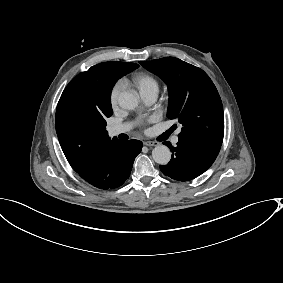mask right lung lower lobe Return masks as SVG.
<instances>
[{"label":"right lung lower lobe","instance_id":"1","mask_svg":"<svg viewBox=\"0 0 283 283\" xmlns=\"http://www.w3.org/2000/svg\"><path fill=\"white\" fill-rule=\"evenodd\" d=\"M141 149V141H119L94 157L77 173L99 189H114L129 178L134 159Z\"/></svg>","mask_w":283,"mask_h":283}]
</instances>
